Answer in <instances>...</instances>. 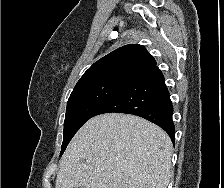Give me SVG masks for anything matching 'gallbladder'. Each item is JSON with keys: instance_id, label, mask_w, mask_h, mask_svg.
Listing matches in <instances>:
<instances>
[{"instance_id": "gallbladder-1", "label": "gallbladder", "mask_w": 224, "mask_h": 188, "mask_svg": "<svg viewBox=\"0 0 224 188\" xmlns=\"http://www.w3.org/2000/svg\"><path fill=\"white\" fill-rule=\"evenodd\" d=\"M80 188H87L86 186H82V187H80Z\"/></svg>"}]
</instances>
